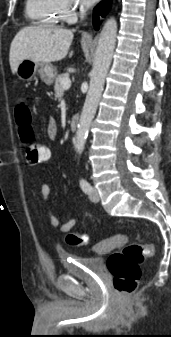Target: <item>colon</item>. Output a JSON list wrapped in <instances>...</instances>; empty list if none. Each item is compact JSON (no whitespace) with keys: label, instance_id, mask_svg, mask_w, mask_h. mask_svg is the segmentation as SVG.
Returning a JSON list of instances; mask_svg holds the SVG:
<instances>
[{"label":"colon","instance_id":"5ec220e1","mask_svg":"<svg viewBox=\"0 0 171 337\" xmlns=\"http://www.w3.org/2000/svg\"><path fill=\"white\" fill-rule=\"evenodd\" d=\"M16 122L19 126V136L24 145L26 162L37 165L43 161H50L53 149L35 138L31 125V114L25 102H20L16 108ZM66 241L72 246H83L89 241L87 234L68 233ZM122 247L120 251H115ZM93 250L97 254L111 253L107 266L113 277L114 288L119 296L131 295L137 288L141 269L140 263L153 252V245L127 243V236L123 233L98 241Z\"/></svg>","mask_w":171,"mask_h":337}]
</instances>
